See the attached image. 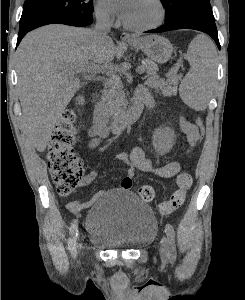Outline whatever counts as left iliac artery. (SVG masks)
I'll list each match as a JSON object with an SVG mask.
<instances>
[{
  "label": "left iliac artery",
  "mask_w": 245,
  "mask_h": 300,
  "mask_svg": "<svg viewBox=\"0 0 245 300\" xmlns=\"http://www.w3.org/2000/svg\"><path fill=\"white\" fill-rule=\"evenodd\" d=\"M165 232L168 237L169 250L168 255L171 262H174L176 259V245H175V231L174 227L171 224H166Z\"/></svg>",
  "instance_id": "44dca946"
}]
</instances>
